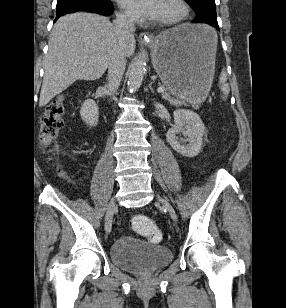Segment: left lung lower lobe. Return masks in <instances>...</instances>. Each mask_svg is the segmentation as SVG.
<instances>
[{"label": "left lung lower lobe", "instance_id": "1", "mask_svg": "<svg viewBox=\"0 0 286 308\" xmlns=\"http://www.w3.org/2000/svg\"><path fill=\"white\" fill-rule=\"evenodd\" d=\"M191 22L193 23H206L214 26L219 30L216 9H206L196 14V18Z\"/></svg>", "mask_w": 286, "mask_h": 308}]
</instances>
